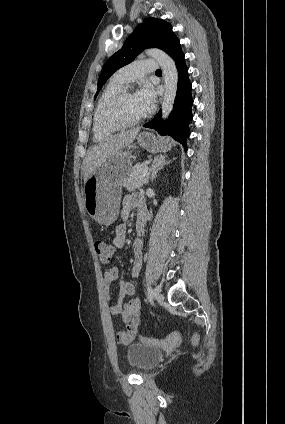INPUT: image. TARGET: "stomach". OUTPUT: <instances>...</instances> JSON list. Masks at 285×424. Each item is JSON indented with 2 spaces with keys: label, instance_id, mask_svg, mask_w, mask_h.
I'll use <instances>...</instances> for the list:
<instances>
[{
  "label": "stomach",
  "instance_id": "0dacf381",
  "mask_svg": "<svg viewBox=\"0 0 285 424\" xmlns=\"http://www.w3.org/2000/svg\"><path fill=\"white\" fill-rule=\"evenodd\" d=\"M137 143L151 153L167 151L172 142L149 132H142ZM121 150L102 163L84 182L85 209L101 225H110L118 217L123 182L131 171L132 154Z\"/></svg>",
  "mask_w": 285,
  "mask_h": 424
}]
</instances>
